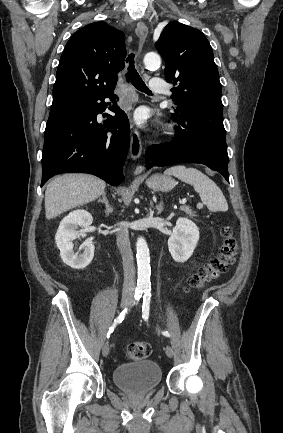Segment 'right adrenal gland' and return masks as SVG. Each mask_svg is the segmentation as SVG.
I'll return each mask as SVG.
<instances>
[{"label": "right adrenal gland", "mask_w": 283, "mask_h": 433, "mask_svg": "<svg viewBox=\"0 0 283 433\" xmlns=\"http://www.w3.org/2000/svg\"><path fill=\"white\" fill-rule=\"evenodd\" d=\"M106 194H107V192H105V190H103L102 198H98V202H105L106 217H109L110 212H113V206H111V204H109Z\"/></svg>", "instance_id": "obj_1"}]
</instances>
